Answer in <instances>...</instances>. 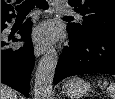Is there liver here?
<instances>
[{"mask_svg":"<svg viewBox=\"0 0 115 99\" xmlns=\"http://www.w3.org/2000/svg\"><path fill=\"white\" fill-rule=\"evenodd\" d=\"M1 99H17V94L8 86L1 84Z\"/></svg>","mask_w":115,"mask_h":99,"instance_id":"obj_1","label":"liver"}]
</instances>
